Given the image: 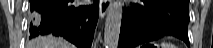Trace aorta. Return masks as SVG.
Instances as JSON below:
<instances>
[{
    "label": "aorta",
    "mask_w": 213,
    "mask_h": 48,
    "mask_svg": "<svg viewBox=\"0 0 213 48\" xmlns=\"http://www.w3.org/2000/svg\"><path fill=\"white\" fill-rule=\"evenodd\" d=\"M121 0H114L108 9L104 29L105 48H117L122 20Z\"/></svg>",
    "instance_id": "762f6f07"
}]
</instances>
